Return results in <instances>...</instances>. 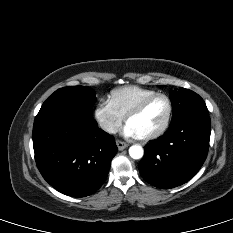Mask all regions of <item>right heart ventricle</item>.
Wrapping results in <instances>:
<instances>
[{
	"label": "right heart ventricle",
	"mask_w": 233,
	"mask_h": 233,
	"mask_svg": "<svg viewBox=\"0 0 233 233\" xmlns=\"http://www.w3.org/2000/svg\"><path fill=\"white\" fill-rule=\"evenodd\" d=\"M157 93L155 90L139 86H124L111 91L109 102L118 114L125 116L142 100Z\"/></svg>",
	"instance_id": "e07e8e85"
}]
</instances>
